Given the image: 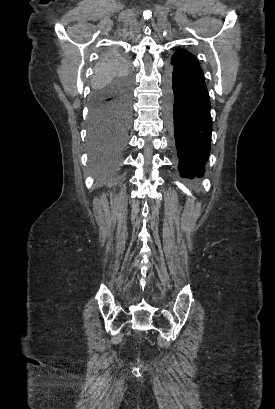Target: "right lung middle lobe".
Masks as SVG:
<instances>
[{
	"label": "right lung middle lobe",
	"mask_w": 275,
	"mask_h": 409,
	"mask_svg": "<svg viewBox=\"0 0 275 409\" xmlns=\"http://www.w3.org/2000/svg\"><path fill=\"white\" fill-rule=\"evenodd\" d=\"M91 89L88 126L91 161L87 167L92 169L90 177L107 178L112 175L107 171L127 146L131 123L132 73L117 47L108 46L100 53Z\"/></svg>",
	"instance_id": "right-lung-middle-lobe-1"
}]
</instances>
